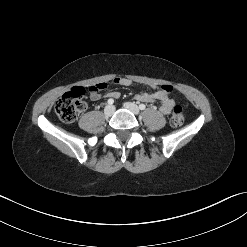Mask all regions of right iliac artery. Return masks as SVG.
<instances>
[{
  "mask_svg": "<svg viewBox=\"0 0 247 247\" xmlns=\"http://www.w3.org/2000/svg\"><path fill=\"white\" fill-rule=\"evenodd\" d=\"M107 103H108L109 105H112V104L114 103V100H113L112 98H110V99H108Z\"/></svg>",
  "mask_w": 247,
  "mask_h": 247,
  "instance_id": "obj_1",
  "label": "right iliac artery"
}]
</instances>
